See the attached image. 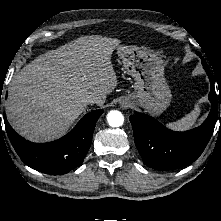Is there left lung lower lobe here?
I'll list each match as a JSON object with an SVG mask.
<instances>
[{
	"mask_svg": "<svg viewBox=\"0 0 221 221\" xmlns=\"http://www.w3.org/2000/svg\"><path fill=\"white\" fill-rule=\"evenodd\" d=\"M202 64L211 82L209 100L212 108L201 126L185 132H174L149 115L135 112L129 117L136 147L148 167L156 170L184 167L194 162L209 142L217 120V95L212 74L204 59ZM219 95L221 103V93Z\"/></svg>",
	"mask_w": 221,
	"mask_h": 221,
	"instance_id": "0a47b994",
	"label": "left lung lower lobe"
}]
</instances>
